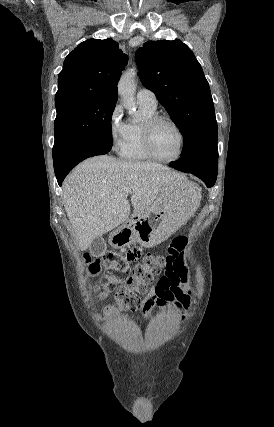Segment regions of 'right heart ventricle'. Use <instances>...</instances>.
I'll list each match as a JSON object with an SVG mask.
<instances>
[{"label": "right heart ventricle", "instance_id": "e07e8e85", "mask_svg": "<svg viewBox=\"0 0 274 427\" xmlns=\"http://www.w3.org/2000/svg\"><path fill=\"white\" fill-rule=\"evenodd\" d=\"M141 119L126 124V133L119 148V156L125 161L148 162L152 159L146 154L142 145V126L144 122L156 115V110L141 107Z\"/></svg>", "mask_w": 274, "mask_h": 427}]
</instances>
